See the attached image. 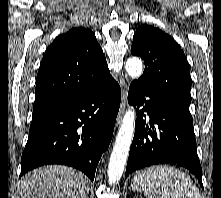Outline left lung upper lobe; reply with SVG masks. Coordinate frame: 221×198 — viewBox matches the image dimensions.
<instances>
[{"label":"left lung upper lobe","instance_id":"obj_1","mask_svg":"<svg viewBox=\"0 0 221 198\" xmlns=\"http://www.w3.org/2000/svg\"><path fill=\"white\" fill-rule=\"evenodd\" d=\"M131 53L145 63L143 75L136 81L150 87L170 106L192 119L189 111L192 80L178 43L158 28L141 25L134 34Z\"/></svg>","mask_w":221,"mask_h":198}]
</instances>
